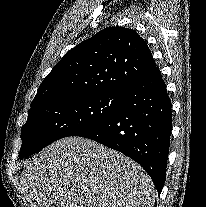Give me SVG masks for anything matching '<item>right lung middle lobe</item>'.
<instances>
[{
  "mask_svg": "<svg viewBox=\"0 0 206 207\" xmlns=\"http://www.w3.org/2000/svg\"><path fill=\"white\" fill-rule=\"evenodd\" d=\"M123 94H89L51 98L31 106L22 127L20 158L39 152L50 143L76 136L115 114Z\"/></svg>",
  "mask_w": 206,
  "mask_h": 207,
  "instance_id": "1",
  "label": "right lung middle lobe"
}]
</instances>
